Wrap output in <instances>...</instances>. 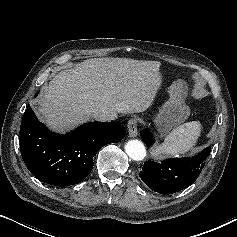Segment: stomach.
I'll return each instance as SVG.
<instances>
[{
  "label": "stomach",
  "mask_w": 237,
  "mask_h": 237,
  "mask_svg": "<svg viewBox=\"0 0 237 237\" xmlns=\"http://www.w3.org/2000/svg\"><path fill=\"white\" fill-rule=\"evenodd\" d=\"M188 86L185 81L177 80L169 87V99L159 109L154 122L161 136L166 135L190 115V109L185 104Z\"/></svg>",
  "instance_id": "obj_1"
}]
</instances>
